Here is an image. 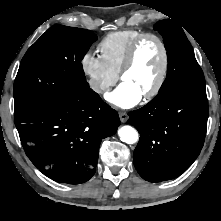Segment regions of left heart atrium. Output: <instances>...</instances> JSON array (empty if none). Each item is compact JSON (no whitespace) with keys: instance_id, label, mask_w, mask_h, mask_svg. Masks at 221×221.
<instances>
[{"instance_id":"39dd6f15","label":"left heart atrium","mask_w":221,"mask_h":221,"mask_svg":"<svg viewBox=\"0 0 221 221\" xmlns=\"http://www.w3.org/2000/svg\"><path fill=\"white\" fill-rule=\"evenodd\" d=\"M142 94L128 83L122 82L106 99L120 108H130L136 105Z\"/></svg>"}]
</instances>
